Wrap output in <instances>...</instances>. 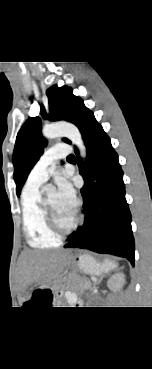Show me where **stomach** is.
Here are the masks:
<instances>
[{
  "instance_id": "stomach-1",
  "label": "stomach",
  "mask_w": 152,
  "mask_h": 369,
  "mask_svg": "<svg viewBox=\"0 0 152 369\" xmlns=\"http://www.w3.org/2000/svg\"><path fill=\"white\" fill-rule=\"evenodd\" d=\"M75 263L79 266V268L91 275H99L102 273H106L111 269L116 267V264L110 260H104L103 262H97L92 256L88 254H83L78 257V260H74ZM44 284L40 282L33 283L31 285L30 291L28 295L31 296L34 291L44 289Z\"/></svg>"
}]
</instances>
